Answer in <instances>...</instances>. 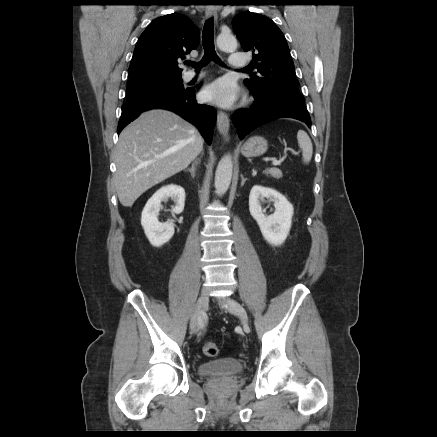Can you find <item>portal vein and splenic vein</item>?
Segmentation results:
<instances>
[{
  "label": "portal vein and splenic vein",
  "instance_id": "18ae733b",
  "mask_svg": "<svg viewBox=\"0 0 437 437\" xmlns=\"http://www.w3.org/2000/svg\"><path fill=\"white\" fill-rule=\"evenodd\" d=\"M281 164V162L280 161H277V160H274L273 162H272V165L273 166H279Z\"/></svg>",
  "mask_w": 437,
  "mask_h": 437
}]
</instances>
